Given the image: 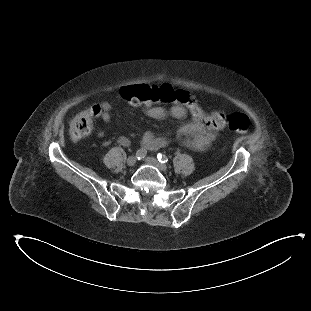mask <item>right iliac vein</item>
<instances>
[{"label":"right iliac vein","instance_id":"obj_1","mask_svg":"<svg viewBox=\"0 0 311 311\" xmlns=\"http://www.w3.org/2000/svg\"><path fill=\"white\" fill-rule=\"evenodd\" d=\"M137 161V158L135 156H130L128 159H127V165L128 166H134L135 163Z\"/></svg>","mask_w":311,"mask_h":311}]
</instances>
